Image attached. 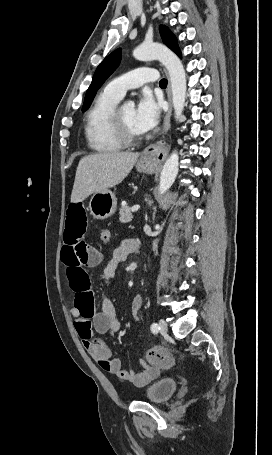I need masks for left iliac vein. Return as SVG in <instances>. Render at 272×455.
I'll list each match as a JSON object with an SVG mask.
<instances>
[{"label":"left iliac vein","instance_id":"left-iliac-vein-1","mask_svg":"<svg viewBox=\"0 0 272 455\" xmlns=\"http://www.w3.org/2000/svg\"><path fill=\"white\" fill-rule=\"evenodd\" d=\"M159 327H160V333L161 334H166L167 333L168 326H167V323L163 319H161L159 321Z\"/></svg>","mask_w":272,"mask_h":455}]
</instances>
